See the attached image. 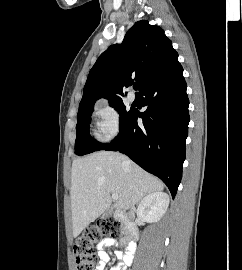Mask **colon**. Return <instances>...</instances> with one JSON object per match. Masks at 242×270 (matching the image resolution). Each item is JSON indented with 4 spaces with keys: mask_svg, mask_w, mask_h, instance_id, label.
I'll return each mask as SVG.
<instances>
[{
    "mask_svg": "<svg viewBox=\"0 0 242 270\" xmlns=\"http://www.w3.org/2000/svg\"><path fill=\"white\" fill-rule=\"evenodd\" d=\"M121 234V223L113 218L104 219L87 228L73 244L76 270H94L96 245L106 238H118Z\"/></svg>",
    "mask_w": 242,
    "mask_h": 270,
    "instance_id": "obj_1",
    "label": "colon"
}]
</instances>
